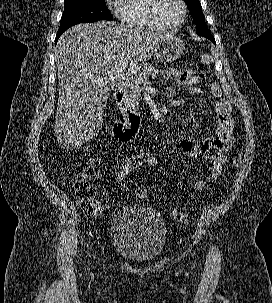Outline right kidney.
Here are the masks:
<instances>
[{"instance_id": "ca27d5eb", "label": "right kidney", "mask_w": 272, "mask_h": 303, "mask_svg": "<svg viewBox=\"0 0 272 303\" xmlns=\"http://www.w3.org/2000/svg\"><path fill=\"white\" fill-rule=\"evenodd\" d=\"M97 161H98V159H97ZM95 162H96L95 159H90V163H95Z\"/></svg>"}]
</instances>
